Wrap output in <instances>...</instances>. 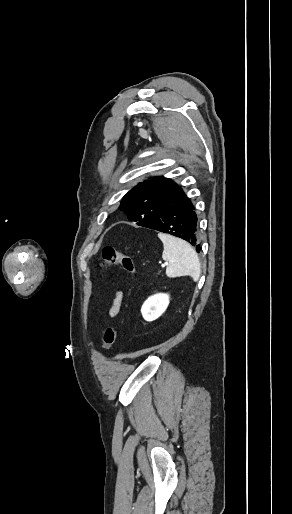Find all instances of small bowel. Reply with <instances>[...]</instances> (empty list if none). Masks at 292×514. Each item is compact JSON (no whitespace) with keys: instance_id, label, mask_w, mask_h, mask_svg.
I'll return each mask as SVG.
<instances>
[{"instance_id":"1","label":"small bowel","mask_w":292,"mask_h":514,"mask_svg":"<svg viewBox=\"0 0 292 514\" xmlns=\"http://www.w3.org/2000/svg\"><path fill=\"white\" fill-rule=\"evenodd\" d=\"M123 295L120 291H117L114 295L112 304L109 308L108 315L110 318H115L121 309Z\"/></svg>"}]
</instances>
